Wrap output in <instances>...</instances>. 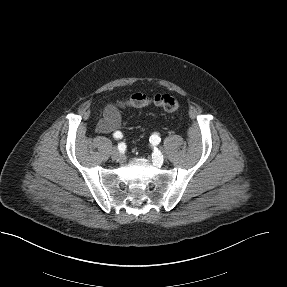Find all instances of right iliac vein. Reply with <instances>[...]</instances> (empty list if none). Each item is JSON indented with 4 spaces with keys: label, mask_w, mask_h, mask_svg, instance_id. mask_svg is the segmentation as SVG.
<instances>
[{
    "label": "right iliac vein",
    "mask_w": 287,
    "mask_h": 287,
    "mask_svg": "<svg viewBox=\"0 0 287 287\" xmlns=\"http://www.w3.org/2000/svg\"><path fill=\"white\" fill-rule=\"evenodd\" d=\"M111 157H112V159H114V160H118V159L121 158V153H120V151H119L116 147H114V148L112 149V151H111Z\"/></svg>",
    "instance_id": "63e3f726"
}]
</instances>
